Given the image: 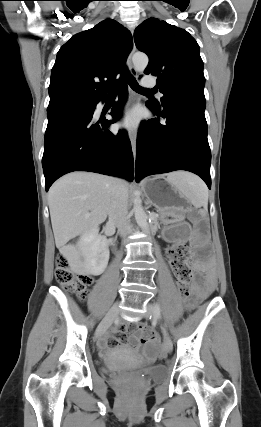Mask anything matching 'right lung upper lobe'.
I'll list each match as a JSON object with an SVG mask.
<instances>
[{"label": "right lung upper lobe", "instance_id": "obj_1", "mask_svg": "<svg viewBox=\"0 0 261 427\" xmlns=\"http://www.w3.org/2000/svg\"><path fill=\"white\" fill-rule=\"evenodd\" d=\"M132 46L130 31L112 19L72 36L57 53L47 110L92 106L105 99Z\"/></svg>", "mask_w": 261, "mask_h": 427}]
</instances>
